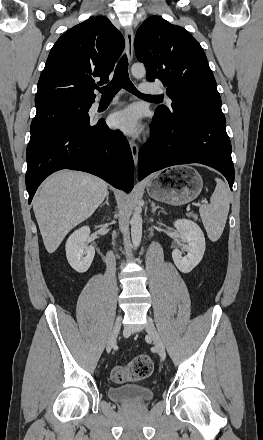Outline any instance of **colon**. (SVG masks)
<instances>
[{"mask_svg": "<svg viewBox=\"0 0 263 440\" xmlns=\"http://www.w3.org/2000/svg\"><path fill=\"white\" fill-rule=\"evenodd\" d=\"M152 370L153 361L150 356L141 354L123 365L116 366L111 376L117 383L138 382L148 378Z\"/></svg>", "mask_w": 263, "mask_h": 440, "instance_id": "5ec220e1", "label": "colon"}]
</instances>
